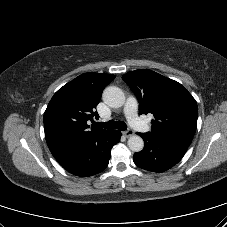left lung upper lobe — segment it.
<instances>
[{"label": "left lung upper lobe", "instance_id": "left-lung-upper-lobe-1", "mask_svg": "<svg viewBox=\"0 0 227 227\" xmlns=\"http://www.w3.org/2000/svg\"><path fill=\"white\" fill-rule=\"evenodd\" d=\"M122 79L139 101L140 114L151 113L150 136L189 146L197 127L198 108L192 95L178 82L151 70H136Z\"/></svg>", "mask_w": 227, "mask_h": 227}]
</instances>
